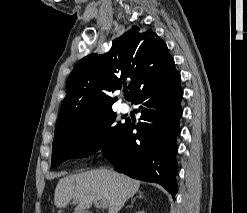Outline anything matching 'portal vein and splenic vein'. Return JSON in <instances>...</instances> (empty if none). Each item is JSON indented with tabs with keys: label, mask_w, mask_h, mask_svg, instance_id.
<instances>
[{
	"label": "portal vein and splenic vein",
	"mask_w": 247,
	"mask_h": 213,
	"mask_svg": "<svg viewBox=\"0 0 247 213\" xmlns=\"http://www.w3.org/2000/svg\"><path fill=\"white\" fill-rule=\"evenodd\" d=\"M100 206L103 207V208H106L107 207V203L105 201H100Z\"/></svg>",
	"instance_id": "portal-vein-and-splenic-vein-1"
}]
</instances>
